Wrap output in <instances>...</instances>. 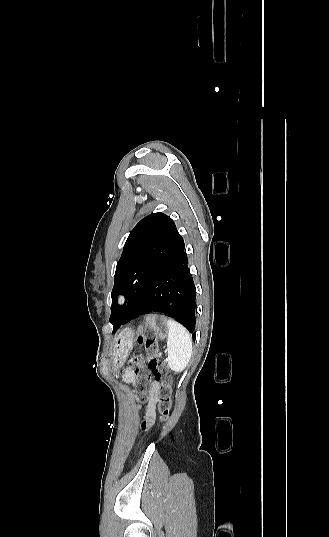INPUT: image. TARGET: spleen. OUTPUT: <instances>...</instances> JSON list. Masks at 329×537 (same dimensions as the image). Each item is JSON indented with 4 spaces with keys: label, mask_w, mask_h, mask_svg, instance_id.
<instances>
[{
    "label": "spleen",
    "mask_w": 329,
    "mask_h": 537,
    "mask_svg": "<svg viewBox=\"0 0 329 537\" xmlns=\"http://www.w3.org/2000/svg\"><path fill=\"white\" fill-rule=\"evenodd\" d=\"M168 365L172 371L185 369L192 355V339L187 329L173 319L168 320Z\"/></svg>",
    "instance_id": "spleen-1"
}]
</instances>
